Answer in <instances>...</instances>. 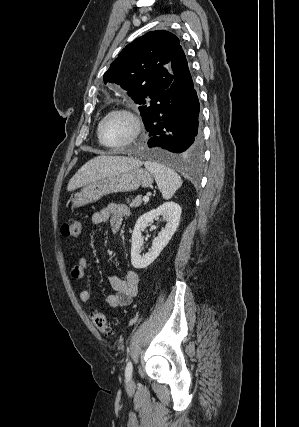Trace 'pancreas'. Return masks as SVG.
<instances>
[{
	"label": "pancreas",
	"instance_id": "pancreas-1",
	"mask_svg": "<svg viewBox=\"0 0 299 427\" xmlns=\"http://www.w3.org/2000/svg\"><path fill=\"white\" fill-rule=\"evenodd\" d=\"M141 204H142V196L139 195L130 203V207L136 208V207L140 206Z\"/></svg>",
	"mask_w": 299,
	"mask_h": 427
}]
</instances>
